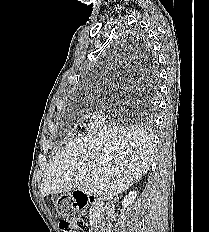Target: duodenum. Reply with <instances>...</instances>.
<instances>
[{
  "instance_id": "duodenum-1",
  "label": "duodenum",
  "mask_w": 209,
  "mask_h": 232,
  "mask_svg": "<svg viewBox=\"0 0 209 232\" xmlns=\"http://www.w3.org/2000/svg\"><path fill=\"white\" fill-rule=\"evenodd\" d=\"M74 197L77 198L79 208H85L89 205L93 207L95 213L93 231L105 232V228L109 225L107 218L103 215V212L106 210V202L99 197L88 195L81 189L74 192Z\"/></svg>"
}]
</instances>
